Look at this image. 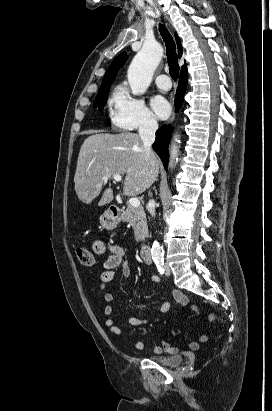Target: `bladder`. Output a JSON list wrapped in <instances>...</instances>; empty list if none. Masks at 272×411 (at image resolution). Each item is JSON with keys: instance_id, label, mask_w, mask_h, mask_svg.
Wrapping results in <instances>:
<instances>
[{"instance_id": "bladder-1", "label": "bladder", "mask_w": 272, "mask_h": 411, "mask_svg": "<svg viewBox=\"0 0 272 411\" xmlns=\"http://www.w3.org/2000/svg\"><path fill=\"white\" fill-rule=\"evenodd\" d=\"M150 359L169 367H177L183 362V357L180 355H152Z\"/></svg>"}]
</instances>
